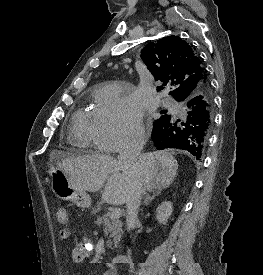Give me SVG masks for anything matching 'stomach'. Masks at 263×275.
<instances>
[{
	"instance_id": "1",
	"label": "stomach",
	"mask_w": 263,
	"mask_h": 275,
	"mask_svg": "<svg viewBox=\"0 0 263 275\" xmlns=\"http://www.w3.org/2000/svg\"><path fill=\"white\" fill-rule=\"evenodd\" d=\"M48 174L51 178V189L56 197L71 201L81 208L91 206V197L88 193L78 189L69 177L57 166L51 165Z\"/></svg>"
}]
</instances>
